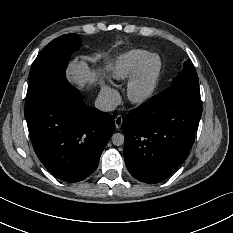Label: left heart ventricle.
Returning a JSON list of instances; mask_svg holds the SVG:
<instances>
[{"label": "left heart ventricle", "mask_w": 233, "mask_h": 233, "mask_svg": "<svg viewBox=\"0 0 233 233\" xmlns=\"http://www.w3.org/2000/svg\"><path fill=\"white\" fill-rule=\"evenodd\" d=\"M160 66H161V61L158 58H155L149 69L147 70L142 82L140 83V85L137 88V93L139 95H143L145 94L151 87L155 77L157 76L159 70H160Z\"/></svg>", "instance_id": "b2bd125f"}]
</instances>
